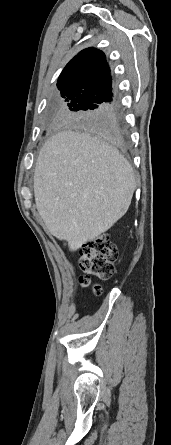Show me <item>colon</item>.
<instances>
[{
    "mask_svg": "<svg viewBox=\"0 0 171 445\" xmlns=\"http://www.w3.org/2000/svg\"><path fill=\"white\" fill-rule=\"evenodd\" d=\"M118 254L117 247L105 235L94 241L86 242L80 249V267L83 274L79 283L85 288H92L94 293L100 294L101 288L93 284V277L106 279L113 272V261Z\"/></svg>",
    "mask_w": 171,
    "mask_h": 445,
    "instance_id": "obj_1",
    "label": "colon"
}]
</instances>
